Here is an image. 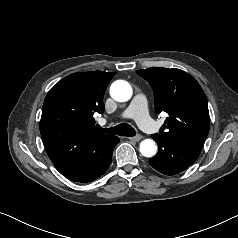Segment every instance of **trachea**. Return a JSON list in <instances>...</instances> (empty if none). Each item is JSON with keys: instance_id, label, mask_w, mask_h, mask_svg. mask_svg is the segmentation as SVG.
Segmentation results:
<instances>
[{"instance_id": "3493384b", "label": "trachea", "mask_w": 238, "mask_h": 238, "mask_svg": "<svg viewBox=\"0 0 238 238\" xmlns=\"http://www.w3.org/2000/svg\"><path fill=\"white\" fill-rule=\"evenodd\" d=\"M104 132L109 134H115L120 136L132 137L136 135V131L127 123H121L115 127L102 129Z\"/></svg>"}]
</instances>
